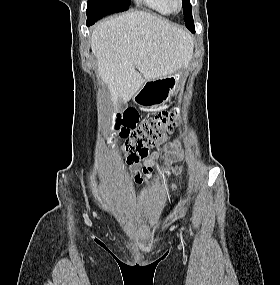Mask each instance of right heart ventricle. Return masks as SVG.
<instances>
[{"instance_id": "obj_1", "label": "right heart ventricle", "mask_w": 280, "mask_h": 285, "mask_svg": "<svg viewBox=\"0 0 280 285\" xmlns=\"http://www.w3.org/2000/svg\"><path fill=\"white\" fill-rule=\"evenodd\" d=\"M140 4L147 6L148 8L160 13V14H170L172 13L167 0H137Z\"/></svg>"}]
</instances>
